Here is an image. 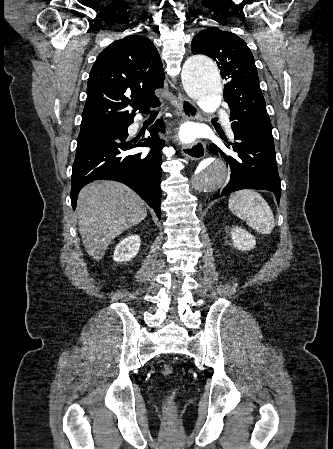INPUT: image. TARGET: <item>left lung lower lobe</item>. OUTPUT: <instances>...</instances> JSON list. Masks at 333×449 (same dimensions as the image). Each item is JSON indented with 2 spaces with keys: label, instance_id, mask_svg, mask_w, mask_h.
Wrapping results in <instances>:
<instances>
[{
  "label": "left lung lower lobe",
  "instance_id": "left-lung-lower-lobe-1",
  "mask_svg": "<svg viewBox=\"0 0 333 449\" xmlns=\"http://www.w3.org/2000/svg\"><path fill=\"white\" fill-rule=\"evenodd\" d=\"M234 143L226 138L227 148L236 154L228 155L220 148L214 154L223 157L230 165V181L223 190H218L211 200L218 199L241 189H262L273 192L277 202L281 196V181L278 175L272 131L243 123L230 115Z\"/></svg>",
  "mask_w": 333,
  "mask_h": 449
}]
</instances>
